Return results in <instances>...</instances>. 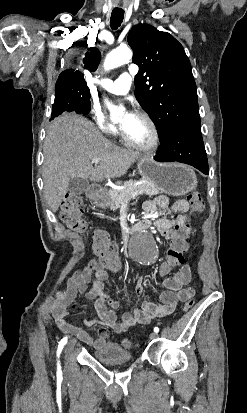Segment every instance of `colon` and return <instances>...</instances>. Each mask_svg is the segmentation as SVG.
I'll return each mask as SVG.
<instances>
[{"label":"colon","mask_w":247,"mask_h":413,"mask_svg":"<svg viewBox=\"0 0 247 413\" xmlns=\"http://www.w3.org/2000/svg\"><path fill=\"white\" fill-rule=\"evenodd\" d=\"M187 199L190 204H192V209L195 213L203 210L204 203L199 192H190ZM82 207V201L78 196L71 194L65 196L60 208V218L66 228L78 233L85 232L87 228V221L82 216ZM175 226L176 232L179 235L174 238L173 244H170L164 253V258L167 261H163L161 263V267L158 269V274L160 276H165L167 274V270L171 268V265H182L184 263V253L188 251L186 232L187 227H193L192 224H188L186 227V225H180L179 222H176ZM90 248L93 251H98L100 258L106 263L112 274L117 275L122 271L123 266L115 257L116 246L110 241L106 233L96 232L93 235ZM194 304V298H188L184 304V311H189ZM122 345L127 349L133 347L132 342L129 340H123Z\"/></svg>","instance_id":"obj_1"}]
</instances>
